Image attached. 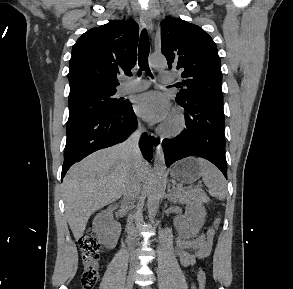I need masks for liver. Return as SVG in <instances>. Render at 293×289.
<instances>
[{
	"instance_id": "1",
	"label": "liver",
	"mask_w": 293,
	"mask_h": 289,
	"mask_svg": "<svg viewBox=\"0 0 293 289\" xmlns=\"http://www.w3.org/2000/svg\"><path fill=\"white\" fill-rule=\"evenodd\" d=\"M134 168L123 144L99 150L73 165L63 180V199L71 231L76 240L85 231L89 217L118 200ZM138 172L143 180L148 164L142 158Z\"/></svg>"
}]
</instances>
